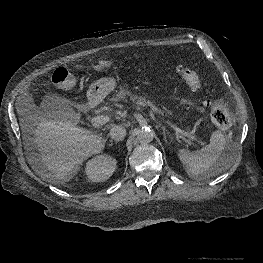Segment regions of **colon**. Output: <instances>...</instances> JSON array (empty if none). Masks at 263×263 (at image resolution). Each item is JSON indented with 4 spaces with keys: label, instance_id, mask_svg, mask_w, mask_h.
Returning a JSON list of instances; mask_svg holds the SVG:
<instances>
[{
    "label": "colon",
    "instance_id": "1",
    "mask_svg": "<svg viewBox=\"0 0 263 263\" xmlns=\"http://www.w3.org/2000/svg\"><path fill=\"white\" fill-rule=\"evenodd\" d=\"M112 64V60H101L93 66V70L101 72L111 67ZM175 71L183 78L191 91L195 92L200 88V80L195 71L182 65L176 66ZM76 80V76L64 68H58L52 76L53 83L59 86H73ZM208 104L211 107L210 116L212 122L220 128H229L231 126V118L225 106L217 101H209Z\"/></svg>",
    "mask_w": 263,
    "mask_h": 263
}]
</instances>
